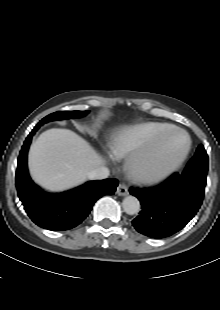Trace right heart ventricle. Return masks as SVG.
I'll use <instances>...</instances> for the list:
<instances>
[{
    "label": "right heart ventricle",
    "instance_id": "obj_1",
    "mask_svg": "<svg viewBox=\"0 0 220 310\" xmlns=\"http://www.w3.org/2000/svg\"><path fill=\"white\" fill-rule=\"evenodd\" d=\"M171 125L160 122H147L120 133L109 145L110 153L116 158L146 149L154 143L155 137Z\"/></svg>",
    "mask_w": 220,
    "mask_h": 310
}]
</instances>
